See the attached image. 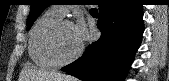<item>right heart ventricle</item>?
Returning <instances> with one entry per match:
<instances>
[{
    "label": "right heart ventricle",
    "instance_id": "e07e8e85",
    "mask_svg": "<svg viewBox=\"0 0 169 81\" xmlns=\"http://www.w3.org/2000/svg\"><path fill=\"white\" fill-rule=\"evenodd\" d=\"M60 20H62V16L49 9L37 19L31 29L28 53L31 60L39 67L54 68L57 66L48 53L47 41L51 29Z\"/></svg>",
    "mask_w": 169,
    "mask_h": 81
}]
</instances>
